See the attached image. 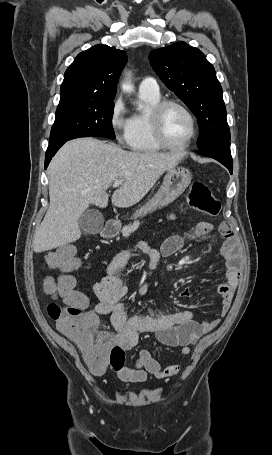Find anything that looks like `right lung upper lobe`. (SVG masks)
Returning <instances> with one entry per match:
<instances>
[{
	"label": "right lung upper lobe",
	"mask_w": 272,
	"mask_h": 455,
	"mask_svg": "<svg viewBox=\"0 0 272 455\" xmlns=\"http://www.w3.org/2000/svg\"><path fill=\"white\" fill-rule=\"evenodd\" d=\"M126 62L124 51L107 45L81 52L65 72L60 102L113 100Z\"/></svg>",
	"instance_id": "right-lung-upper-lobe-1"
}]
</instances>
